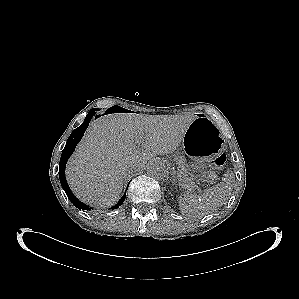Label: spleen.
Returning <instances> with one entry per match:
<instances>
[{
  "label": "spleen",
  "instance_id": "spleen-1",
  "mask_svg": "<svg viewBox=\"0 0 299 299\" xmlns=\"http://www.w3.org/2000/svg\"><path fill=\"white\" fill-rule=\"evenodd\" d=\"M234 181V174L228 172L221 183L204 190L200 195L192 191L184 192L179 199L181 213L197 219L210 214L228 200Z\"/></svg>",
  "mask_w": 299,
  "mask_h": 299
}]
</instances>
